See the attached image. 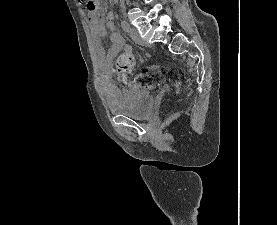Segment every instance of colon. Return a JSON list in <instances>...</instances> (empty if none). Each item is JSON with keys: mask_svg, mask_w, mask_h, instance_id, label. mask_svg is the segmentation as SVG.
Here are the masks:
<instances>
[{"mask_svg": "<svg viewBox=\"0 0 277 225\" xmlns=\"http://www.w3.org/2000/svg\"><path fill=\"white\" fill-rule=\"evenodd\" d=\"M87 9L90 10L91 5L86 0H82ZM135 63V57L131 53H122L116 60V73L118 77L125 81L127 80ZM161 79V73L146 72L137 76V84L142 87L153 89L157 86L158 81Z\"/></svg>", "mask_w": 277, "mask_h": 225, "instance_id": "1", "label": "colon"}]
</instances>
